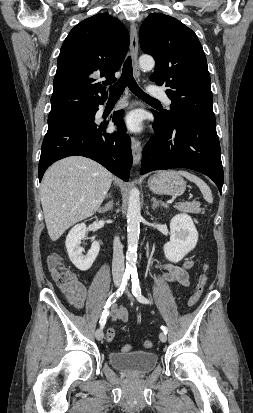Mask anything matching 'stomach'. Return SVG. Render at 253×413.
Masks as SVG:
<instances>
[{
    "mask_svg": "<svg viewBox=\"0 0 253 413\" xmlns=\"http://www.w3.org/2000/svg\"><path fill=\"white\" fill-rule=\"evenodd\" d=\"M148 186L151 191L157 194L180 196L186 189V182L177 172L168 170L150 177Z\"/></svg>",
    "mask_w": 253,
    "mask_h": 413,
    "instance_id": "stomach-1",
    "label": "stomach"
}]
</instances>
